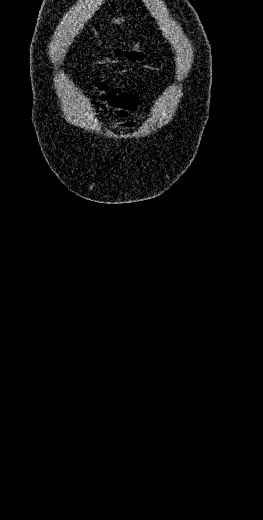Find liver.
<instances>
[{
	"instance_id": "liver-1",
	"label": "liver",
	"mask_w": 263,
	"mask_h": 520,
	"mask_svg": "<svg viewBox=\"0 0 263 520\" xmlns=\"http://www.w3.org/2000/svg\"><path fill=\"white\" fill-rule=\"evenodd\" d=\"M123 21H124L123 18H118V19H114V20H113V22H114L115 24H120V23L123 22Z\"/></svg>"
}]
</instances>
